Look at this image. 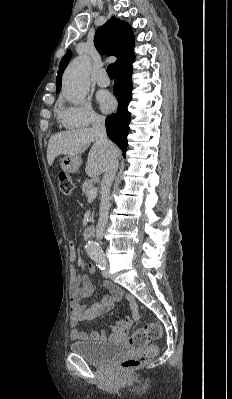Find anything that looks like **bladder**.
<instances>
[{
	"mask_svg": "<svg viewBox=\"0 0 232 399\" xmlns=\"http://www.w3.org/2000/svg\"><path fill=\"white\" fill-rule=\"evenodd\" d=\"M70 350L89 363L102 364L122 355L125 347L117 342L76 341L70 344Z\"/></svg>",
	"mask_w": 232,
	"mask_h": 399,
	"instance_id": "bladder-1",
	"label": "bladder"
}]
</instances>
